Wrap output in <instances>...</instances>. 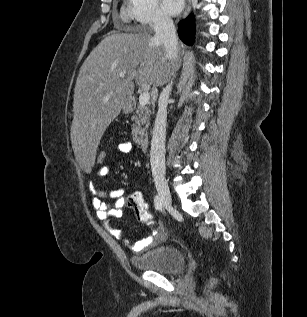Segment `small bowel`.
I'll return each instance as SVG.
<instances>
[{
  "label": "small bowel",
  "mask_w": 307,
  "mask_h": 317,
  "mask_svg": "<svg viewBox=\"0 0 307 317\" xmlns=\"http://www.w3.org/2000/svg\"><path fill=\"white\" fill-rule=\"evenodd\" d=\"M133 143L129 141L121 142L117 145V151L120 154H129L133 151ZM110 168L105 165L100 167L96 172L97 178H104L109 174ZM89 189L94 196L92 204L96 211V215L100 220L104 221L105 229L115 238L120 239L133 252H141L150 247L158 237L156 225L151 223V232L146 238L137 242L127 240L123 232L114 228L110 223V218H119L123 215L124 207L126 206V196L124 188H117L112 190H102L98 187L95 179L89 183ZM104 199L111 201L105 202Z\"/></svg>",
  "instance_id": "c3829d8e"
}]
</instances>
